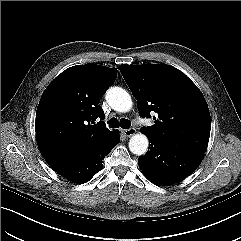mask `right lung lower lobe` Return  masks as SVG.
Listing matches in <instances>:
<instances>
[{"instance_id":"obj_1","label":"right lung lower lobe","mask_w":241,"mask_h":241,"mask_svg":"<svg viewBox=\"0 0 241 241\" xmlns=\"http://www.w3.org/2000/svg\"><path fill=\"white\" fill-rule=\"evenodd\" d=\"M120 137L116 131L111 140L91 154L72 163L53 168L55 172L74 183H86L95 173L102 169L103 158L119 143Z\"/></svg>"}]
</instances>
